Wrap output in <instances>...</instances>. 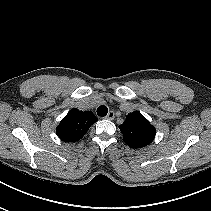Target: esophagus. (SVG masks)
<instances>
[{
    "instance_id": "1",
    "label": "esophagus",
    "mask_w": 211,
    "mask_h": 211,
    "mask_svg": "<svg viewBox=\"0 0 211 211\" xmlns=\"http://www.w3.org/2000/svg\"><path fill=\"white\" fill-rule=\"evenodd\" d=\"M115 117V113L113 111H109L107 116L105 117L106 119L113 120Z\"/></svg>"
}]
</instances>
